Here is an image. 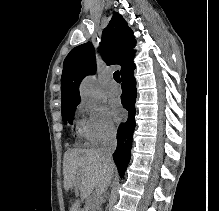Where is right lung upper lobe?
Listing matches in <instances>:
<instances>
[{
  "mask_svg": "<svg viewBox=\"0 0 219 211\" xmlns=\"http://www.w3.org/2000/svg\"><path fill=\"white\" fill-rule=\"evenodd\" d=\"M136 41L132 30L121 15L114 12L108 26L102 32L99 52L107 65L122 66L120 74L133 65ZM96 59L93 45L88 42L73 48L63 63L61 77L62 105L80 102L79 85L86 75L94 74Z\"/></svg>",
  "mask_w": 219,
  "mask_h": 211,
  "instance_id": "right-lung-upper-lobe-1",
  "label": "right lung upper lobe"
}]
</instances>
